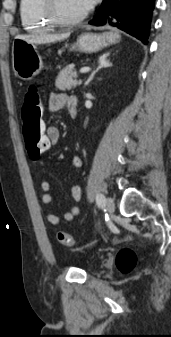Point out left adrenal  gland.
Returning <instances> with one entry per match:
<instances>
[{
    "mask_svg": "<svg viewBox=\"0 0 171 337\" xmlns=\"http://www.w3.org/2000/svg\"><path fill=\"white\" fill-rule=\"evenodd\" d=\"M110 53H106L103 56H101L99 58V65L97 67V69L95 71L92 72V74L90 75V77L88 78V80L85 83V86H87L94 78L95 74L102 69L103 67H111L112 63L107 59V57L109 56Z\"/></svg>",
    "mask_w": 171,
    "mask_h": 337,
    "instance_id": "left-adrenal-gland-1",
    "label": "left adrenal gland"
}]
</instances>
